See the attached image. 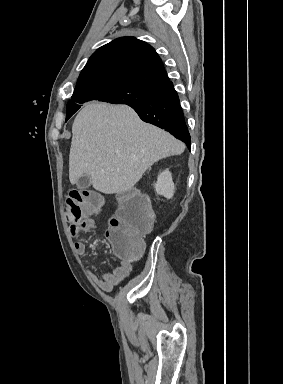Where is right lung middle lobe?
I'll list each match as a JSON object with an SVG mask.
<instances>
[{
  "instance_id": "dd1d6c3e",
  "label": "right lung middle lobe",
  "mask_w": 283,
  "mask_h": 384,
  "mask_svg": "<svg viewBox=\"0 0 283 384\" xmlns=\"http://www.w3.org/2000/svg\"><path fill=\"white\" fill-rule=\"evenodd\" d=\"M152 91L121 83H104L75 89L67 104V121L83 104L98 100L114 104H139L148 101Z\"/></svg>"
}]
</instances>
